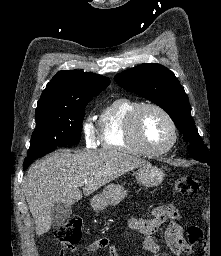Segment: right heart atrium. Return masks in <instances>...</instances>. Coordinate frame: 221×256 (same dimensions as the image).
<instances>
[{
	"mask_svg": "<svg viewBox=\"0 0 221 256\" xmlns=\"http://www.w3.org/2000/svg\"><path fill=\"white\" fill-rule=\"evenodd\" d=\"M82 131L86 144L91 147L94 146L98 140V132L90 116L83 122Z\"/></svg>",
	"mask_w": 221,
	"mask_h": 256,
	"instance_id": "1",
	"label": "right heart atrium"
}]
</instances>
